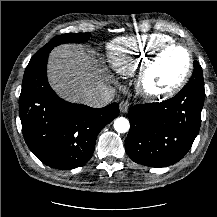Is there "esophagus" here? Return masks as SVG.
<instances>
[{"label":"esophagus","instance_id":"1","mask_svg":"<svg viewBox=\"0 0 217 217\" xmlns=\"http://www.w3.org/2000/svg\"><path fill=\"white\" fill-rule=\"evenodd\" d=\"M131 103L127 100H124L120 103V111L126 113L130 107Z\"/></svg>","mask_w":217,"mask_h":217}]
</instances>
